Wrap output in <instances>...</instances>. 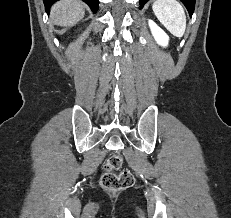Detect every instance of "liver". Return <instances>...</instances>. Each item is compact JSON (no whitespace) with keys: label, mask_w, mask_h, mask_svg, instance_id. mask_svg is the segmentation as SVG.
Returning a JSON list of instances; mask_svg holds the SVG:
<instances>
[{"label":"liver","mask_w":231,"mask_h":218,"mask_svg":"<svg viewBox=\"0 0 231 218\" xmlns=\"http://www.w3.org/2000/svg\"><path fill=\"white\" fill-rule=\"evenodd\" d=\"M84 7L79 0H62L52 7L51 18L56 25L73 26L84 17Z\"/></svg>","instance_id":"6515ba94"}]
</instances>
